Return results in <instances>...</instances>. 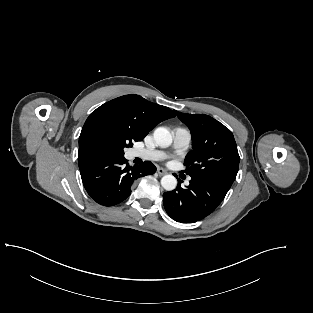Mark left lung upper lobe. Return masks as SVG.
<instances>
[{"label":"left lung upper lobe","instance_id":"left-lung-upper-lobe-1","mask_svg":"<svg viewBox=\"0 0 313 313\" xmlns=\"http://www.w3.org/2000/svg\"><path fill=\"white\" fill-rule=\"evenodd\" d=\"M178 118L190 129L192 148L184 161L185 172L191 178L208 179L233 184L240 157L232 132L208 115L176 111Z\"/></svg>","mask_w":313,"mask_h":313}]
</instances>
